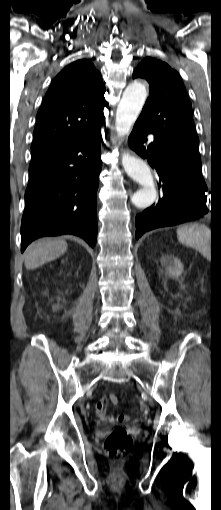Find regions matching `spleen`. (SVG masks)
<instances>
[{
	"label": "spleen",
	"mask_w": 221,
	"mask_h": 510,
	"mask_svg": "<svg viewBox=\"0 0 221 510\" xmlns=\"http://www.w3.org/2000/svg\"><path fill=\"white\" fill-rule=\"evenodd\" d=\"M177 237L180 243L199 251L204 257L209 258L211 231L205 225H182L177 229Z\"/></svg>",
	"instance_id": "3e777b00"
}]
</instances>
